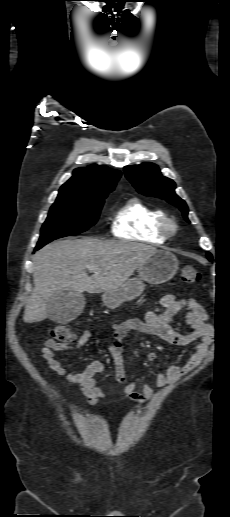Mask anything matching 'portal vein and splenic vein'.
Listing matches in <instances>:
<instances>
[{"label":"portal vein and splenic vein","mask_w":230,"mask_h":517,"mask_svg":"<svg viewBox=\"0 0 230 517\" xmlns=\"http://www.w3.org/2000/svg\"><path fill=\"white\" fill-rule=\"evenodd\" d=\"M87 269L90 271V272H94L97 268L95 266H88Z\"/></svg>","instance_id":"18ae733b"}]
</instances>
